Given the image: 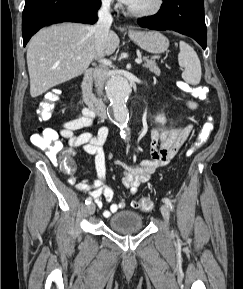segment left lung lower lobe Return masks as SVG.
<instances>
[{
    "instance_id": "left-lung-lower-lobe-1",
    "label": "left lung lower lobe",
    "mask_w": 243,
    "mask_h": 289,
    "mask_svg": "<svg viewBox=\"0 0 243 289\" xmlns=\"http://www.w3.org/2000/svg\"><path fill=\"white\" fill-rule=\"evenodd\" d=\"M138 24L153 30H173L188 35L206 48L203 0H164L157 14L138 19Z\"/></svg>"
}]
</instances>
